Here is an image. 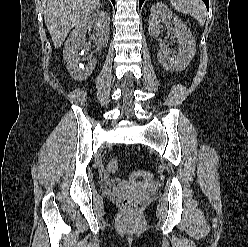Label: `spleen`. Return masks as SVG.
<instances>
[{"label":"spleen","instance_id":"3e777b00","mask_svg":"<svg viewBox=\"0 0 248 247\" xmlns=\"http://www.w3.org/2000/svg\"><path fill=\"white\" fill-rule=\"evenodd\" d=\"M175 9L194 17L201 25L206 20V7L202 0H170Z\"/></svg>","mask_w":248,"mask_h":247}]
</instances>
